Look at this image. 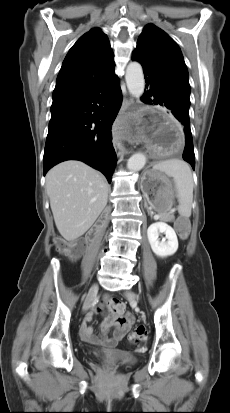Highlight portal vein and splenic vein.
<instances>
[{
	"label": "portal vein and splenic vein",
	"instance_id": "1",
	"mask_svg": "<svg viewBox=\"0 0 230 413\" xmlns=\"http://www.w3.org/2000/svg\"><path fill=\"white\" fill-rule=\"evenodd\" d=\"M171 212H175V209H172ZM156 218L158 219L159 217H156Z\"/></svg>",
	"mask_w": 230,
	"mask_h": 413
}]
</instances>
